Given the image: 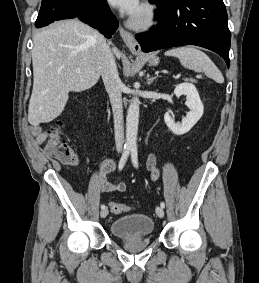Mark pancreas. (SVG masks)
Here are the masks:
<instances>
[{"instance_id":"1","label":"pancreas","mask_w":259,"mask_h":283,"mask_svg":"<svg viewBox=\"0 0 259 283\" xmlns=\"http://www.w3.org/2000/svg\"><path fill=\"white\" fill-rule=\"evenodd\" d=\"M187 80L194 82V80H192V79H187Z\"/></svg>"}]
</instances>
